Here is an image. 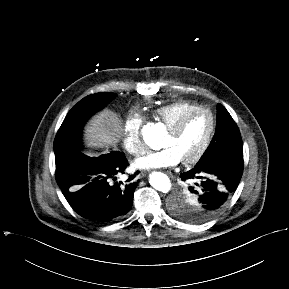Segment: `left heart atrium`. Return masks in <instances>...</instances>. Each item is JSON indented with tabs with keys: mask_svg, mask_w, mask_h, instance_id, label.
<instances>
[{
	"mask_svg": "<svg viewBox=\"0 0 289 289\" xmlns=\"http://www.w3.org/2000/svg\"><path fill=\"white\" fill-rule=\"evenodd\" d=\"M181 161L178 154L170 147L158 151H150L135 161L139 169H159L177 165Z\"/></svg>",
	"mask_w": 289,
	"mask_h": 289,
	"instance_id": "obj_1",
	"label": "left heart atrium"
}]
</instances>
